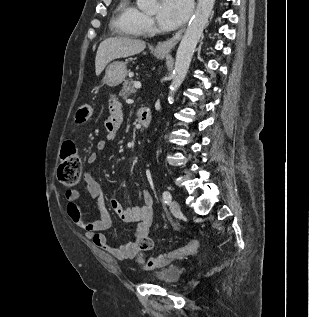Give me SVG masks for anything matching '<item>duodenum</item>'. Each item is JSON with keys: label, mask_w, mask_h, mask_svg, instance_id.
Listing matches in <instances>:
<instances>
[{"label": "duodenum", "mask_w": 309, "mask_h": 317, "mask_svg": "<svg viewBox=\"0 0 309 317\" xmlns=\"http://www.w3.org/2000/svg\"><path fill=\"white\" fill-rule=\"evenodd\" d=\"M151 122V111L147 107H143L138 111V123L143 129L147 128Z\"/></svg>", "instance_id": "obj_1"}]
</instances>
